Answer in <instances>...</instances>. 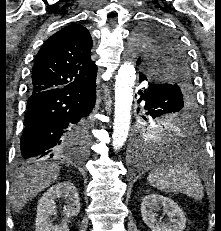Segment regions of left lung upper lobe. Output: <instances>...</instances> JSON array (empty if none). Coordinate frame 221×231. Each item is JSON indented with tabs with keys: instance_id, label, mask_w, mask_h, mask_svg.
Returning <instances> with one entry per match:
<instances>
[{
	"instance_id": "obj_1",
	"label": "left lung upper lobe",
	"mask_w": 221,
	"mask_h": 231,
	"mask_svg": "<svg viewBox=\"0 0 221 231\" xmlns=\"http://www.w3.org/2000/svg\"><path fill=\"white\" fill-rule=\"evenodd\" d=\"M134 43L137 65L165 87L158 98L145 102L146 114L152 118L186 115L195 96L189 58L179 39L161 26L143 24L135 32Z\"/></svg>"
}]
</instances>
